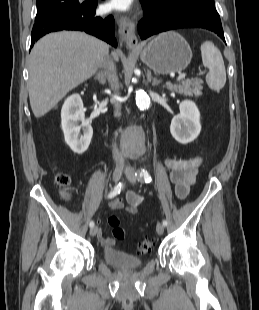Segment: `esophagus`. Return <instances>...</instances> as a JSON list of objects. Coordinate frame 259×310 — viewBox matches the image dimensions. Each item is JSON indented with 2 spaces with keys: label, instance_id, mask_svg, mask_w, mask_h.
<instances>
[{
  "label": "esophagus",
  "instance_id": "obj_1",
  "mask_svg": "<svg viewBox=\"0 0 259 310\" xmlns=\"http://www.w3.org/2000/svg\"><path fill=\"white\" fill-rule=\"evenodd\" d=\"M118 31L121 39L131 49L138 48V38L135 33V24L129 18L117 16Z\"/></svg>",
  "mask_w": 259,
  "mask_h": 310
}]
</instances>
